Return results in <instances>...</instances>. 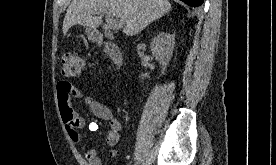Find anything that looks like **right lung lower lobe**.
<instances>
[{
	"mask_svg": "<svg viewBox=\"0 0 276 165\" xmlns=\"http://www.w3.org/2000/svg\"><path fill=\"white\" fill-rule=\"evenodd\" d=\"M192 7H198L203 3V0H181Z\"/></svg>",
	"mask_w": 276,
	"mask_h": 165,
	"instance_id": "obj_1",
	"label": "right lung lower lobe"
}]
</instances>
